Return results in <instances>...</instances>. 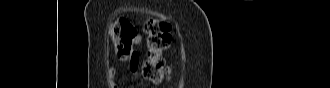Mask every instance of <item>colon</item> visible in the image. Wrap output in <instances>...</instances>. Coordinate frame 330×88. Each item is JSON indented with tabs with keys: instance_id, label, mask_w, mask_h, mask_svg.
Returning a JSON list of instances; mask_svg holds the SVG:
<instances>
[{
	"instance_id": "5ec220e1",
	"label": "colon",
	"mask_w": 330,
	"mask_h": 88,
	"mask_svg": "<svg viewBox=\"0 0 330 88\" xmlns=\"http://www.w3.org/2000/svg\"><path fill=\"white\" fill-rule=\"evenodd\" d=\"M143 29L146 34V59L142 63L141 74L146 81L159 84L169 75L162 53L172 41L171 25L167 21L150 17L145 21ZM137 33L126 19H118L111 25L109 36L118 58L129 59L135 54L133 39Z\"/></svg>"
}]
</instances>
